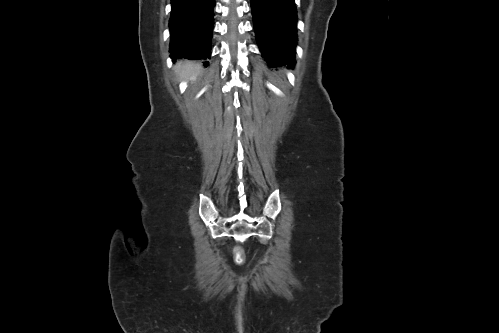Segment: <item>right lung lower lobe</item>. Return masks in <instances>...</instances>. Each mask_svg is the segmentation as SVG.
<instances>
[{
    "mask_svg": "<svg viewBox=\"0 0 499 333\" xmlns=\"http://www.w3.org/2000/svg\"><path fill=\"white\" fill-rule=\"evenodd\" d=\"M171 6V56L175 60L210 58L215 0H171Z\"/></svg>",
    "mask_w": 499,
    "mask_h": 333,
    "instance_id": "right-lung-lower-lobe-1",
    "label": "right lung lower lobe"
}]
</instances>
